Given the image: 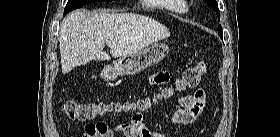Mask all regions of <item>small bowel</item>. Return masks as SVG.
<instances>
[{"label":"small bowel","instance_id":"small-bowel-1","mask_svg":"<svg viewBox=\"0 0 280 137\" xmlns=\"http://www.w3.org/2000/svg\"><path fill=\"white\" fill-rule=\"evenodd\" d=\"M170 77L165 72L153 74L149 78L151 85L165 84ZM206 103V92L203 88H197L190 95L178 99V108L169 119V126L186 125L196 122ZM117 133L136 134V137H166L165 134L156 131L152 126L144 122L142 113L131 116L130 122L121 123L116 128H110L105 122L87 123L84 128L83 137H115Z\"/></svg>","mask_w":280,"mask_h":137}]
</instances>
